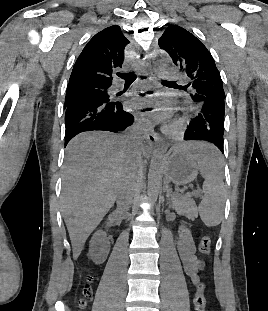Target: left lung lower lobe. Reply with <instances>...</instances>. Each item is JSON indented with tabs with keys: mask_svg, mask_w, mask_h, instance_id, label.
Returning <instances> with one entry per match:
<instances>
[{
	"mask_svg": "<svg viewBox=\"0 0 268 311\" xmlns=\"http://www.w3.org/2000/svg\"><path fill=\"white\" fill-rule=\"evenodd\" d=\"M224 99L220 98L212 104L206 101L200 112L190 116V123L184 135V140H206L223 152L224 134Z\"/></svg>",
	"mask_w": 268,
	"mask_h": 311,
	"instance_id": "obj_1",
	"label": "left lung lower lobe"
}]
</instances>
